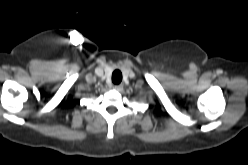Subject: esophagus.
I'll return each mask as SVG.
<instances>
[{
  "label": "esophagus",
  "mask_w": 248,
  "mask_h": 165,
  "mask_svg": "<svg viewBox=\"0 0 248 165\" xmlns=\"http://www.w3.org/2000/svg\"><path fill=\"white\" fill-rule=\"evenodd\" d=\"M113 89H115L118 92H121L123 90V85H121V84L120 85H114Z\"/></svg>",
  "instance_id": "34e87169"
}]
</instances>
